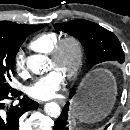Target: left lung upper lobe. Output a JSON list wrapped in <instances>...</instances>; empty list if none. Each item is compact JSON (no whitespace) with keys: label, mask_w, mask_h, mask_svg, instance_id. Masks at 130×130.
<instances>
[{"label":"left lung upper lobe","mask_w":130,"mask_h":130,"mask_svg":"<svg viewBox=\"0 0 130 130\" xmlns=\"http://www.w3.org/2000/svg\"><path fill=\"white\" fill-rule=\"evenodd\" d=\"M54 27L80 40L85 48L88 67L106 61L124 62V52L118 38L98 24L87 20H72L56 23Z\"/></svg>","instance_id":"left-lung-upper-lobe-1"}]
</instances>
